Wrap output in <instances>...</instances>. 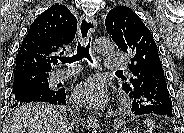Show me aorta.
<instances>
[{"instance_id":"1","label":"aorta","mask_w":184,"mask_h":133,"mask_svg":"<svg viewBox=\"0 0 184 133\" xmlns=\"http://www.w3.org/2000/svg\"><path fill=\"white\" fill-rule=\"evenodd\" d=\"M94 50L99 54H110L114 51V43L105 38H98L93 43ZM92 133H99L97 130H93Z\"/></svg>"}]
</instances>
